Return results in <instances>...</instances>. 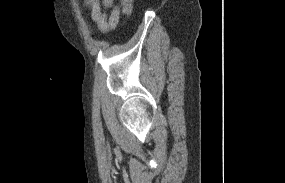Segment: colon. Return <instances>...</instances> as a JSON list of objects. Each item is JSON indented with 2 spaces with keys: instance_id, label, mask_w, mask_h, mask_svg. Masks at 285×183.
Instances as JSON below:
<instances>
[{
  "instance_id": "1",
  "label": "colon",
  "mask_w": 285,
  "mask_h": 183,
  "mask_svg": "<svg viewBox=\"0 0 285 183\" xmlns=\"http://www.w3.org/2000/svg\"><path fill=\"white\" fill-rule=\"evenodd\" d=\"M133 1L134 0H121L123 11L126 15H130L132 13Z\"/></svg>"
}]
</instances>
